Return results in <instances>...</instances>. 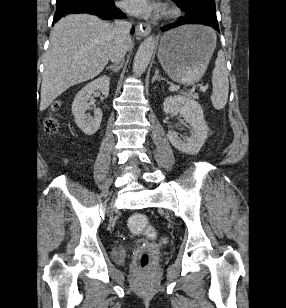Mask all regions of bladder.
<instances>
[{
  "mask_svg": "<svg viewBox=\"0 0 286 308\" xmlns=\"http://www.w3.org/2000/svg\"><path fill=\"white\" fill-rule=\"evenodd\" d=\"M128 249L127 244H117L114 247V258L119 263L125 262V256Z\"/></svg>",
  "mask_w": 286,
  "mask_h": 308,
  "instance_id": "bladder-1",
  "label": "bladder"
}]
</instances>
